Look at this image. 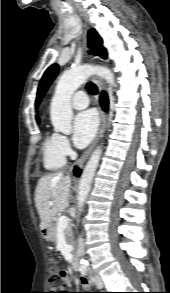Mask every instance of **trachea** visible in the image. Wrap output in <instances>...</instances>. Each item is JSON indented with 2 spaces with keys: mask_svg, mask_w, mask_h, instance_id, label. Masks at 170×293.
<instances>
[{
  "mask_svg": "<svg viewBox=\"0 0 170 293\" xmlns=\"http://www.w3.org/2000/svg\"><path fill=\"white\" fill-rule=\"evenodd\" d=\"M86 89L92 95H96L98 93V89H97L96 85L91 82L87 83Z\"/></svg>",
  "mask_w": 170,
  "mask_h": 293,
  "instance_id": "1",
  "label": "trachea"
}]
</instances>
